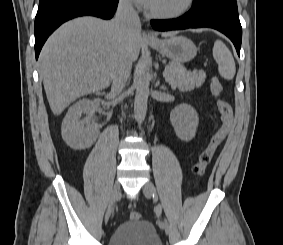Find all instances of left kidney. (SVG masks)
Instances as JSON below:
<instances>
[{
  "mask_svg": "<svg viewBox=\"0 0 283 245\" xmlns=\"http://www.w3.org/2000/svg\"><path fill=\"white\" fill-rule=\"evenodd\" d=\"M170 121L179 139L188 142L195 137L198 115L193 107L182 104L175 107L170 114Z\"/></svg>",
  "mask_w": 283,
  "mask_h": 245,
  "instance_id": "1",
  "label": "left kidney"
}]
</instances>
